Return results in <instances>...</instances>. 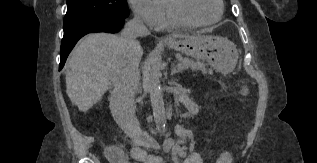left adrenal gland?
<instances>
[{
	"instance_id": "a2214340",
	"label": "left adrenal gland",
	"mask_w": 317,
	"mask_h": 163,
	"mask_svg": "<svg viewBox=\"0 0 317 163\" xmlns=\"http://www.w3.org/2000/svg\"><path fill=\"white\" fill-rule=\"evenodd\" d=\"M179 71L176 69L175 63L171 64V76L178 73Z\"/></svg>"
}]
</instances>
